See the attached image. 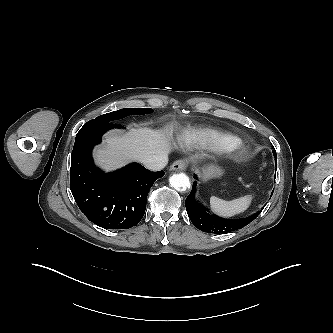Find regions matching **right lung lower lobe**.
Returning <instances> with one entry per match:
<instances>
[{"label": "right lung lower lobe", "instance_id": "1", "mask_svg": "<svg viewBox=\"0 0 333 333\" xmlns=\"http://www.w3.org/2000/svg\"><path fill=\"white\" fill-rule=\"evenodd\" d=\"M112 128L121 126L90 120L77 133L71 157L70 189L90 221L106 229H128L143 218L148 191L164 176V171L151 172L137 163L111 173L96 168L92 149Z\"/></svg>", "mask_w": 333, "mask_h": 333}]
</instances>
